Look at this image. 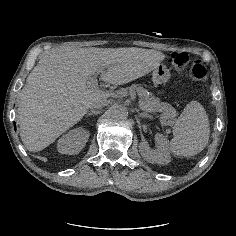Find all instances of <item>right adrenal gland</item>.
I'll return each instance as SVG.
<instances>
[{"label": "right adrenal gland", "instance_id": "2a0ac1e0", "mask_svg": "<svg viewBox=\"0 0 236 236\" xmlns=\"http://www.w3.org/2000/svg\"><path fill=\"white\" fill-rule=\"evenodd\" d=\"M98 114H100L99 110L92 109L90 112L87 113L86 116L98 115Z\"/></svg>", "mask_w": 236, "mask_h": 236}]
</instances>
